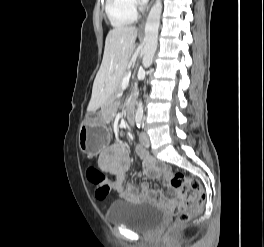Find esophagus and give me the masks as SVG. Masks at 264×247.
<instances>
[{
	"label": "esophagus",
	"instance_id": "1",
	"mask_svg": "<svg viewBox=\"0 0 264 247\" xmlns=\"http://www.w3.org/2000/svg\"><path fill=\"white\" fill-rule=\"evenodd\" d=\"M153 1H154V0H152V1L150 2L149 6H148V8H147V10H146V13H145V15H144V18H143V20H142V22H141V24H140V27H139L140 30H142V29L144 28L145 20H146V15H147V13H148V11H149V8L151 7Z\"/></svg>",
	"mask_w": 264,
	"mask_h": 247
}]
</instances>
